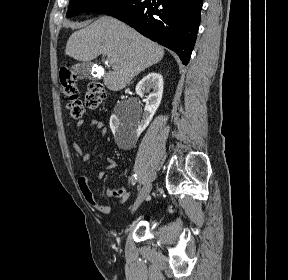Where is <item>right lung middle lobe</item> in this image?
<instances>
[{
	"label": "right lung middle lobe",
	"instance_id": "right-lung-middle-lobe-1",
	"mask_svg": "<svg viewBox=\"0 0 288 280\" xmlns=\"http://www.w3.org/2000/svg\"><path fill=\"white\" fill-rule=\"evenodd\" d=\"M124 0H70L68 17L85 12H104L105 10L123 2Z\"/></svg>",
	"mask_w": 288,
	"mask_h": 280
}]
</instances>
